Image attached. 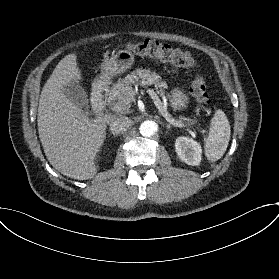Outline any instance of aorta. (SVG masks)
<instances>
[{
    "mask_svg": "<svg viewBox=\"0 0 279 279\" xmlns=\"http://www.w3.org/2000/svg\"><path fill=\"white\" fill-rule=\"evenodd\" d=\"M139 130H140L141 135H143L145 137H150V136H153L157 132L158 125H157V123H155L152 120H147V121L142 122Z\"/></svg>",
    "mask_w": 279,
    "mask_h": 279,
    "instance_id": "1",
    "label": "aorta"
}]
</instances>
